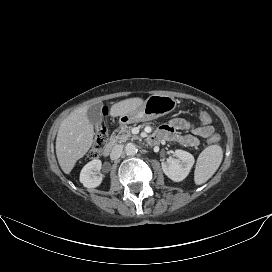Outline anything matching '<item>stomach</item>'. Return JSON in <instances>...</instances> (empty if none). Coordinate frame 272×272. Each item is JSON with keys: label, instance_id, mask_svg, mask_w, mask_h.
Masks as SVG:
<instances>
[{"label": "stomach", "instance_id": "1", "mask_svg": "<svg viewBox=\"0 0 272 272\" xmlns=\"http://www.w3.org/2000/svg\"><path fill=\"white\" fill-rule=\"evenodd\" d=\"M177 106V101L168 95L154 94L149 96L143 105L136 110L121 115L120 125H127L136 122L150 121L172 112Z\"/></svg>", "mask_w": 272, "mask_h": 272}]
</instances>
